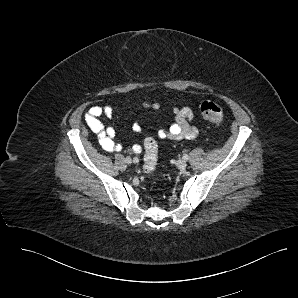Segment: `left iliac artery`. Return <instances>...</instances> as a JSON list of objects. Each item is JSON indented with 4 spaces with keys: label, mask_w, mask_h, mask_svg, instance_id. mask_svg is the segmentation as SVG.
Returning a JSON list of instances; mask_svg holds the SVG:
<instances>
[{
    "label": "left iliac artery",
    "mask_w": 298,
    "mask_h": 298,
    "mask_svg": "<svg viewBox=\"0 0 298 298\" xmlns=\"http://www.w3.org/2000/svg\"><path fill=\"white\" fill-rule=\"evenodd\" d=\"M183 159H184V160H188V159H189V156H188V155H184V156H183Z\"/></svg>",
    "instance_id": "left-iliac-artery-1"
}]
</instances>
